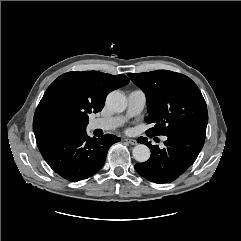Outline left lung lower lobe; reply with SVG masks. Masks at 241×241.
<instances>
[{"label":"left lung lower lobe","instance_id":"left-lung-lower-lobe-1","mask_svg":"<svg viewBox=\"0 0 241 241\" xmlns=\"http://www.w3.org/2000/svg\"><path fill=\"white\" fill-rule=\"evenodd\" d=\"M206 131L192 130L167 136L165 148L144 143L151 149L148 161L136 164V171L149 181L169 183L182 175L196 160L205 141Z\"/></svg>","mask_w":241,"mask_h":241}]
</instances>
